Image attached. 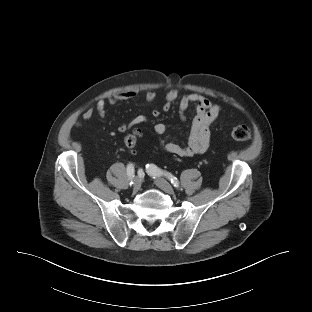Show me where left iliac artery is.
<instances>
[{"label":"left iliac artery","mask_w":312,"mask_h":312,"mask_svg":"<svg viewBox=\"0 0 312 312\" xmlns=\"http://www.w3.org/2000/svg\"><path fill=\"white\" fill-rule=\"evenodd\" d=\"M146 170H147V173L151 176H165V177H167L171 181V183L173 184L174 187L179 188L178 179L175 176H173L171 173L158 168L154 164L146 165Z\"/></svg>","instance_id":"44dca946"}]
</instances>
